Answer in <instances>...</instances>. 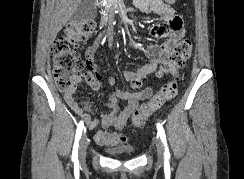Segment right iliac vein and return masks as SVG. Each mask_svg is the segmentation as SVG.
Wrapping results in <instances>:
<instances>
[{"label":"right iliac vein","mask_w":244,"mask_h":179,"mask_svg":"<svg viewBox=\"0 0 244 179\" xmlns=\"http://www.w3.org/2000/svg\"><path fill=\"white\" fill-rule=\"evenodd\" d=\"M86 152H87V137L83 136L80 140V146H79V160L81 162L85 160Z\"/></svg>","instance_id":"right-iliac-vein-1"}]
</instances>
